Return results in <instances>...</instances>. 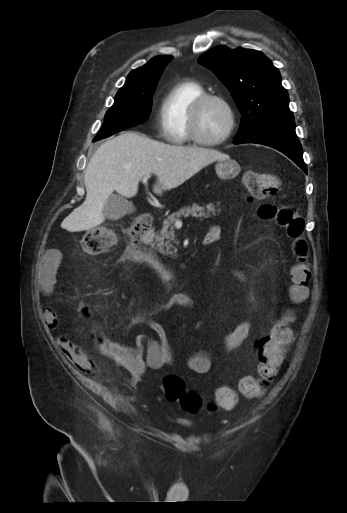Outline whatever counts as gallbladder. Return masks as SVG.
<instances>
[{
    "label": "gallbladder",
    "mask_w": 347,
    "mask_h": 513,
    "mask_svg": "<svg viewBox=\"0 0 347 513\" xmlns=\"http://www.w3.org/2000/svg\"><path fill=\"white\" fill-rule=\"evenodd\" d=\"M135 210L133 204L122 196L112 194L104 204V214L109 220H119Z\"/></svg>",
    "instance_id": "obj_1"
}]
</instances>
